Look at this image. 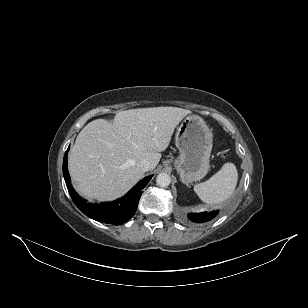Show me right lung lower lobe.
Here are the masks:
<instances>
[{
  "mask_svg": "<svg viewBox=\"0 0 308 308\" xmlns=\"http://www.w3.org/2000/svg\"><path fill=\"white\" fill-rule=\"evenodd\" d=\"M67 149L63 159V175L69 191V194L76 206L88 217L108 224L120 225L129 220L135 213L141 190L148 184L152 176L141 180L129 193L124 197L113 202H103L100 204H89L82 200L71 185V180L67 168Z\"/></svg>",
  "mask_w": 308,
  "mask_h": 308,
  "instance_id": "obj_1",
  "label": "right lung lower lobe"
}]
</instances>
